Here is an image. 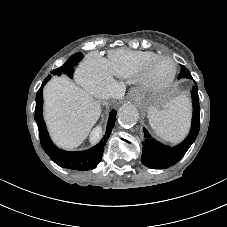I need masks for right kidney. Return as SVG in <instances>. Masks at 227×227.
<instances>
[{
  "instance_id": "1",
  "label": "right kidney",
  "mask_w": 227,
  "mask_h": 227,
  "mask_svg": "<svg viewBox=\"0 0 227 227\" xmlns=\"http://www.w3.org/2000/svg\"><path fill=\"white\" fill-rule=\"evenodd\" d=\"M99 133H100V130L97 128V129H94L90 135V140L92 142H95L99 136Z\"/></svg>"
}]
</instances>
